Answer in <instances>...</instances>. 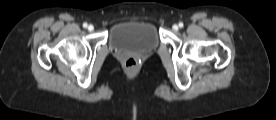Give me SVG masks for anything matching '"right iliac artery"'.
<instances>
[{"instance_id": "obj_1", "label": "right iliac artery", "mask_w": 276, "mask_h": 120, "mask_svg": "<svg viewBox=\"0 0 276 120\" xmlns=\"http://www.w3.org/2000/svg\"><path fill=\"white\" fill-rule=\"evenodd\" d=\"M88 24L87 23H83V27L87 28Z\"/></svg>"}]
</instances>
